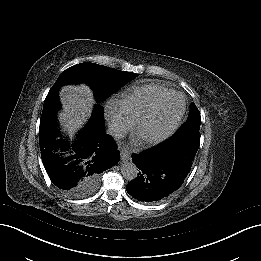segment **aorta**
<instances>
[{"instance_id": "aorta-1", "label": "aorta", "mask_w": 261, "mask_h": 261, "mask_svg": "<svg viewBox=\"0 0 261 261\" xmlns=\"http://www.w3.org/2000/svg\"><path fill=\"white\" fill-rule=\"evenodd\" d=\"M121 174L127 181H133L137 178L139 169L132 161H124L121 163Z\"/></svg>"}]
</instances>
